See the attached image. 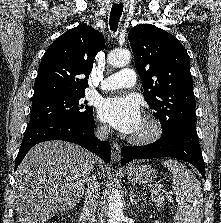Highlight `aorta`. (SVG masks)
Instances as JSON below:
<instances>
[{"mask_svg":"<svg viewBox=\"0 0 221 223\" xmlns=\"http://www.w3.org/2000/svg\"><path fill=\"white\" fill-rule=\"evenodd\" d=\"M131 60L129 50H113L108 55V63L114 67H123ZM123 218V203L118 190L112 191L108 204V223H121Z\"/></svg>","mask_w":221,"mask_h":223,"instance_id":"1","label":"aorta"}]
</instances>
